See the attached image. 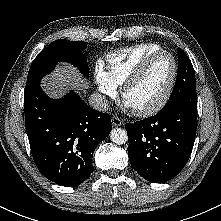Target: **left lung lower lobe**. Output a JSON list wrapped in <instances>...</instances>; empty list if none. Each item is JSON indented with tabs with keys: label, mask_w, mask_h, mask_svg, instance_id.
<instances>
[{
	"label": "left lung lower lobe",
	"mask_w": 221,
	"mask_h": 221,
	"mask_svg": "<svg viewBox=\"0 0 221 221\" xmlns=\"http://www.w3.org/2000/svg\"><path fill=\"white\" fill-rule=\"evenodd\" d=\"M197 101L125 125L131 166L147 181L166 182L187 163L196 136Z\"/></svg>",
	"instance_id": "left-lung-lower-lobe-1"
}]
</instances>
